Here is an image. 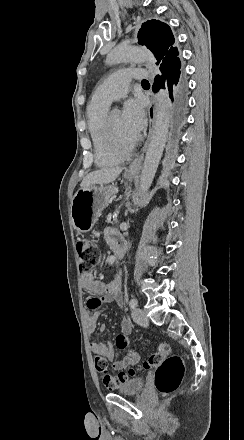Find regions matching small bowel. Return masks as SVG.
Instances as JSON below:
<instances>
[{
  "mask_svg": "<svg viewBox=\"0 0 244 440\" xmlns=\"http://www.w3.org/2000/svg\"><path fill=\"white\" fill-rule=\"evenodd\" d=\"M105 240L114 249L122 242L121 235L113 228H108L105 231ZM82 287L91 293V297L88 299L87 306L89 309L95 312L87 318V331L89 334H93L97 329V322L99 319V308L104 303L115 302L121 305L123 302L122 292V275L118 273L109 283H105L96 280L91 272L81 274ZM122 329L119 333H126L127 339L130 334L131 328L129 321L123 319ZM99 332L103 333L106 330L104 325L98 326ZM90 349L94 353H104L106 358L112 362V366L115 370H123L129 366H133L137 363V354L133 349H129L127 355L121 359L116 358V348H113L112 343H103L91 341ZM127 349V348H118Z\"/></svg>",
  "mask_w": 244,
  "mask_h": 440,
  "instance_id": "c3829d8e",
  "label": "small bowel"
}]
</instances>
